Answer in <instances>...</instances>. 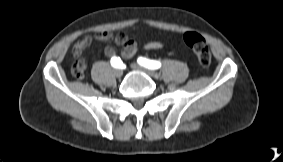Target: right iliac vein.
Masks as SVG:
<instances>
[{"label": "right iliac vein", "instance_id": "obj_1", "mask_svg": "<svg viewBox=\"0 0 283 162\" xmlns=\"http://www.w3.org/2000/svg\"><path fill=\"white\" fill-rule=\"evenodd\" d=\"M114 75L117 77V78H120L122 75H123V69L122 68H116L114 70Z\"/></svg>", "mask_w": 283, "mask_h": 162}]
</instances>
